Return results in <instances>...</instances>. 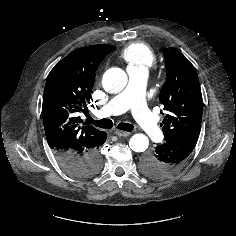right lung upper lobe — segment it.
Masks as SVG:
<instances>
[{"label": "right lung upper lobe", "mask_w": 236, "mask_h": 236, "mask_svg": "<svg viewBox=\"0 0 236 236\" xmlns=\"http://www.w3.org/2000/svg\"><path fill=\"white\" fill-rule=\"evenodd\" d=\"M115 47L91 45L79 48L51 70L47 77L42 116L48 145L55 155L86 157L100 145L105 132L81 125L80 111L91 98L95 71Z\"/></svg>", "instance_id": "cb5924a9"}]
</instances>
